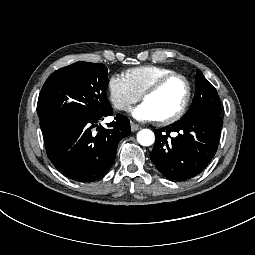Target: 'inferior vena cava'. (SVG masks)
<instances>
[{"label": "inferior vena cava", "mask_w": 255, "mask_h": 255, "mask_svg": "<svg viewBox=\"0 0 255 255\" xmlns=\"http://www.w3.org/2000/svg\"><path fill=\"white\" fill-rule=\"evenodd\" d=\"M113 104H114V107L119 110H123L126 106L129 105V103L126 100L120 97H116L113 100Z\"/></svg>", "instance_id": "inferior-vena-cava-1"}]
</instances>
